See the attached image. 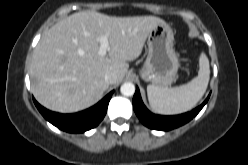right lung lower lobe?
I'll return each instance as SVG.
<instances>
[{
	"label": "right lung lower lobe",
	"instance_id": "obj_1",
	"mask_svg": "<svg viewBox=\"0 0 248 165\" xmlns=\"http://www.w3.org/2000/svg\"><path fill=\"white\" fill-rule=\"evenodd\" d=\"M112 94L113 91L93 107L75 114L52 112L38 104L35 99L33 100L43 117L57 128L70 133H83L102 121Z\"/></svg>",
	"mask_w": 248,
	"mask_h": 165
}]
</instances>
